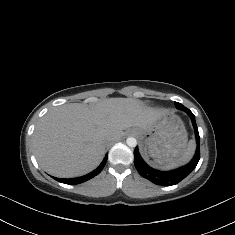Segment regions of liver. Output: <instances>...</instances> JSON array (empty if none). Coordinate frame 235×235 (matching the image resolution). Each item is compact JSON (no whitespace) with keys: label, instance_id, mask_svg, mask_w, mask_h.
<instances>
[{"label":"liver","instance_id":"liver-1","mask_svg":"<svg viewBox=\"0 0 235 235\" xmlns=\"http://www.w3.org/2000/svg\"><path fill=\"white\" fill-rule=\"evenodd\" d=\"M164 113L131 98L103 100L92 108L83 104L55 107L35 128L34 154L51 175L79 176L101 162L108 143L123 136V130L148 129Z\"/></svg>","mask_w":235,"mask_h":235}]
</instances>
